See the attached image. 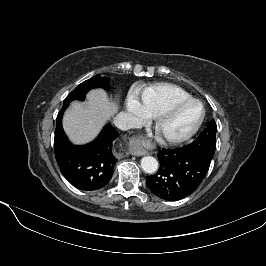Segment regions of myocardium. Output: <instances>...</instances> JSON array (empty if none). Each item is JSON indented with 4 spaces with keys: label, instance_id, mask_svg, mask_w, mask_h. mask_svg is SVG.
<instances>
[{
    "label": "myocardium",
    "instance_id": "1",
    "mask_svg": "<svg viewBox=\"0 0 266 266\" xmlns=\"http://www.w3.org/2000/svg\"><path fill=\"white\" fill-rule=\"evenodd\" d=\"M192 105H197L200 108L199 117L197 118L193 126L188 131L180 135L166 134L164 132L165 124L175 115H177L180 111ZM204 117H205V108L199 100L189 99V100L181 101L173 105L172 107H170L169 109H167L166 111H164L163 113L159 114L156 117V121H155L156 135L158 139L162 141L163 143L170 144V145L181 144L183 142H186L190 138H192L197 133V131L199 130V128L201 127L203 123Z\"/></svg>",
    "mask_w": 266,
    "mask_h": 266
}]
</instances>
